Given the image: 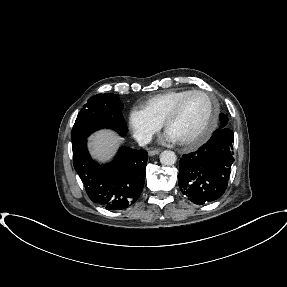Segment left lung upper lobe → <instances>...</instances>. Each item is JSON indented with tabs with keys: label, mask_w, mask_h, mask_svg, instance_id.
I'll return each instance as SVG.
<instances>
[{
	"label": "left lung upper lobe",
	"mask_w": 287,
	"mask_h": 287,
	"mask_svg": "<svg viewBox=\"0 0 287 287\" xmlns=\"http://www.w3.org/2000/svg\"><path fill=\"white\" fill-rule=\"evenodd\" d=\"M220 122H221V127H220L218 130H220V129H222V128H226L227 123H228V118H227V116H225V115H223V114H220ZM218 130H217V131H218Z\"/></svg>",
	"instance_id": "5c2ea615"
}]
</instances>
